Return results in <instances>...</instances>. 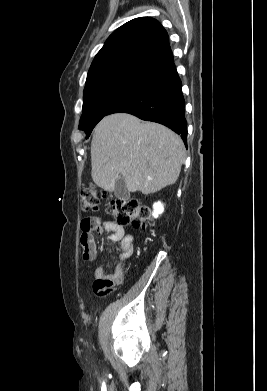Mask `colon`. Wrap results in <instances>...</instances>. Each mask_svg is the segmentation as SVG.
<instances>
[{
  "label": "colon",
  "instance_id": "colon-1",
  "mask_svg": "<svg viewBox=\"0 0 267 391\" xmlns=\"http://www.w3.org/2000/svg\"><path fill=\"white\" fill-rule=\"evenodd\" d=\"M104 198V192L93 186L83 188L80 193L82 210L85 212L98 210ZM109 206L114 222L118 225H131L137 230H145L148 228L150 210L138 199H117L111 201Z\"/></svg>",
  "mask_w": 267,
  "mask_h": 391
}]
</instances>
